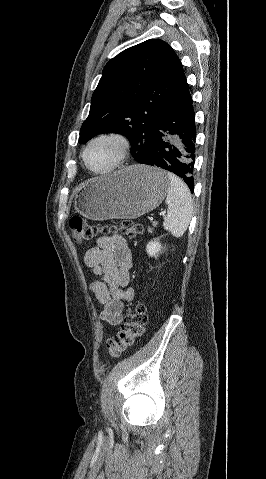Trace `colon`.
<instances>
[{
  "label": "colon",
  "mask_w": 266,
  "mask_h": 479,
  "mask_svg": "<svg viewBox=\"0 0 266 479\" xmlns=\"http://www.w3.org/2000/svg\"><path fill=\"white\" fill-rule=\"evenodd\" d=\"M69 230L72 239L77 244H83L98 231H120L130 238H136L142 233L143 227L131 220H123L119 224L98 228L79 216L69 221ZM147 323V311L143 303L131 305L125 315L120 331L106 342L108 354L119 357L131 349L136 341L143 336Z\"/></svg>",
  "instance_id": "obj_1"
}]
</instances>
